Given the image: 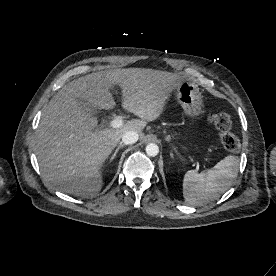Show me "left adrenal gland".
Returning <instances> with one entry per match:
<instances>
[{"mask_svg":"<svg viewBox=\"0 0 276 276\" xmlns=\"http://www.w3.org/2000/svg\"><path fill=\"white\" fill-rule=\"evenodd\" d=\"M170 156L173 158V153H170Z\"/></svg>","mask_w":276,"mask_h":276,"instance_id":"a2214340","label":"left adrenal gland"}]
</instances>
